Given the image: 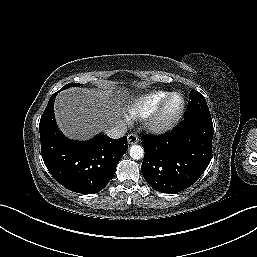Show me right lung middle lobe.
<instances>
[{
	"instance_id": "dd1d6c3e",
	"label": "right lung middle lobe",
	"mask_w": 257,
	"mask_h": 257,
	"mask_svg": "<svg viewBox=\"0 0 257 257\" xmlns=\"http://www.w3.org/2000/svg\"><path fill=\"white\" fill-rule=\"evenodd\" d=\"M72 86H81V85L77 84V83H69V84H66L65 86H63L61 90H64V89L72 87Z\"/></svg>"
}]
</instances>
